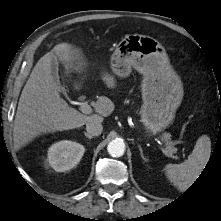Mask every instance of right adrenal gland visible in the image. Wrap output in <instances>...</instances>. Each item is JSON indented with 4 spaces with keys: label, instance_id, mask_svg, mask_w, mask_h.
I'll return each mask as SVG.
<instances>
[{
    "label": "right adrenal gland",
    "instance_id": "1",
    "mask_svg": "<svg viewBox=\"0 0 221 221\" xmlns=\"http://www.w3.org/2000/svg\"><path fill=\"white\" fill-rule=\"evenodd\" d=\"M84 135L88 138V139H91L93 138V136L89 135L87 132L84 131Z\"/></svg>",
    "mask_w": 221,
    "mask_h": 221
}]
</instances>
